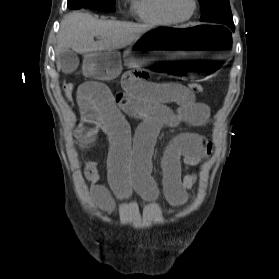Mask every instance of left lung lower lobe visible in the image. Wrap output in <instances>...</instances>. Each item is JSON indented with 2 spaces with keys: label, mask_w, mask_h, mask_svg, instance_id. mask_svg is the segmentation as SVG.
Masks as SVG:
<instances>
[{
  "label": "left lung lower lobe",
  "mask_w": 279,
  "mask_h": 279,
  "mask_svg": "<svg viewBox=\"0 0 279 279\" xmlns=\"http://www.w3.org/2000/svg\"><path fill=\"white\" fill-rule=\"evenodd\" d=\"M222 23L227 25L233 32L235 31V26H234L233 20H231V21H224Z\"/></svg>",
  "instance_id": "0a47b994"
}]
</instances>
